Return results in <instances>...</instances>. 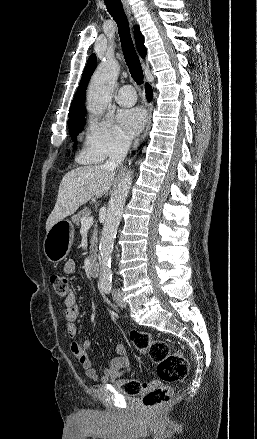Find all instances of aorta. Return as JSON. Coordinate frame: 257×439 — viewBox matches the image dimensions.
<instances>
[{
  "instance_id": "aorta-1",
  "label": "aorta",
  "mask_w": 257,
  "mask_h": 439,
  "mask_svg": "<svg viewBox=\"0 0 257 439\" xmlns=\"http://www.w3.org/2000/svg\"><path fill=\"white\" fill-rule=\"evenodd\" d=\"M119 65L111 56L107 55L96 74L92 77L88 95L87 110L93 115H100L106 109L111 100V94L117 77ZM132 184V172L128 171L112 194L99 244V255L102 266V285H110L112 282L111 255L113 252L114 239L120 224L123 207L128 197Z\"/></svg>"
}]
</instances>
